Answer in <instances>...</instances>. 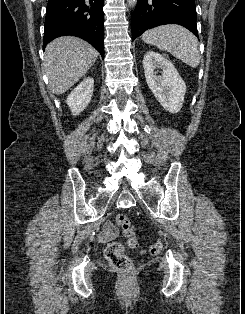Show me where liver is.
I'll return each mask as SVG.
<instances>
[{"instance_id": "liver-1", "label": "liver", "mask_w": 245, "mask_h": 314, "mask_svg": "<svg viewBox=\"0 0 245 314\" xmlns=\"http://www.w3.org/2000/svg\"><path fill=\"white\" fill-rule=\"evenodd\" d=\"M97 57L98 51L80 38L64 36L51 41L44 57L51 91L63 94L87 73Z\"/></svg>"}]
</instances>
